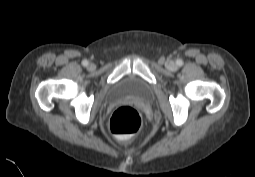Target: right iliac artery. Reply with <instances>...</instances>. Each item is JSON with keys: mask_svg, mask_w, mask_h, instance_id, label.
<instances>
[{"mask_svg": "<svg viewBox=\"0 0 255 177\" xmlns=\"http://www.w3.org/2000/svg\"><path fill=\"white\" fill-rule=\"evenodd\" d=\"M82 65L86 67L88 65V61L87 60H83L82 61Z\"/></svg>", "mask_w": 255, "mask_h": 177, "instance_id": "82829eb1", "label": "right iliac artery"}]
</instances>
